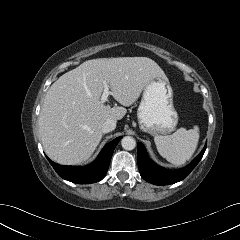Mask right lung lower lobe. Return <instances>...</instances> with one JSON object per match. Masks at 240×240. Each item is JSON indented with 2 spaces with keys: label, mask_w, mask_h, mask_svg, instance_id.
<instances>
[{
  "label": "right lung lower lobe",
  "mask_w": 240,
  "mask_h": 240,
  "mask_svg": "<svg viewBox=\"0 0 240 240\" xmlns=\"http://www.w3.org/2000/svg\"><path fill=\"white\" fill-rule=\"evenodd\" d=\"M120 139L121 137H117L106 144L97 159L87 166H63L48 160L58 175L65 180L78 184L95 183L105 176L113 151Z\"/></svg>",
  "instance_id": "98d812e1"
}]
</instances>
